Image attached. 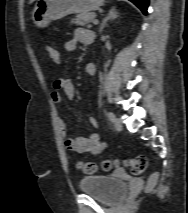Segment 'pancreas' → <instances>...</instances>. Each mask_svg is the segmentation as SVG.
Here are the masks:
<instances>
[{"label": "pancreas", "instance_id": "cf45deb5", "mask_svg": "<svg viewBox=\"0 0 188 213\" xmlns=\"http://www.w3.org/2000/svg\"><path fill=\"white\" fill-rule=\"evenodd\" d=\"M96 14L91 13H85V14H78L76 15L75 19H72V23L79 26H85L89 25L93 20L95 19Z\"/></svg>", "mask_w": 188, "mask_h": 213}]
</instances>
